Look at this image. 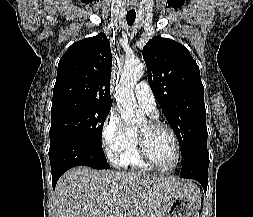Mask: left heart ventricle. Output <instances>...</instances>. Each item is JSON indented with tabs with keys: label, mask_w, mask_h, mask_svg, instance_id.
<instances>
[{
	"label": "left heart ventricle",
	"mask_w": 253,
	"mask_h": 217,
	"mask_svg": "<svg viewBox=\"0 0 253 217\" xmlns=\"http://www.w3.org/2000/svg\"><path fill=\"white\" fill-rule=\"evenodd\" d=\"M137 133L145 137L147 150L156 165L165 169L173 165L175 145L171 135L166 130H152L148 123H145L138 129Z\"/></svg>",
	"instance_id": "left-heart-ventricle-1"
}]
</instances>
